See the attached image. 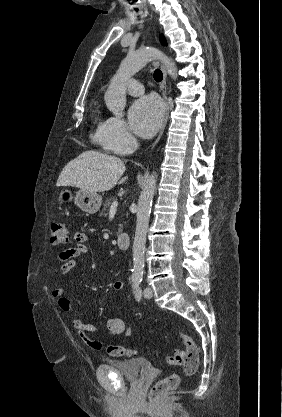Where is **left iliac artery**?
Here are the masks:
<instances>
[{
    "label": "left iliac artery",
    "instance_id": "1",
    "mask_svg": "<svg viewBox=\"0 0 282 417\" xmlns=\"http://www.w3.org/2000/svg\"><path fill=\"white\" fill-rule=\"evenodd\" d=\"M141 296H142V290H141V288L136 289V292H135V298H136V300L139 301L141 299Z\"/></svg>",
    "mask_w": 282,
    "mask_h": 417
}]
</instances>
